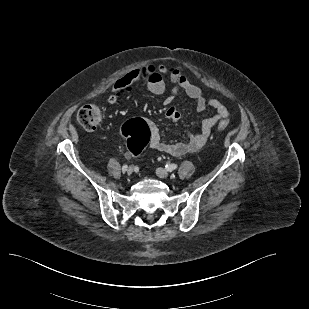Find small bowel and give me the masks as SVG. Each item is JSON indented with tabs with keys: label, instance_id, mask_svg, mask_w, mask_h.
<instances>
[{
	"label": "small bowel",
	"instance_id": "1",
	"mask_svg": "<svg viewBox=\"0 0 309 309\" xmlns=\"http://www.w3.org/2000/svg\"><path fill=\"white\" fill-rule=\"evenodd\" d=\"M165 78L173 84L166 98L167 103H170L179 93L184 92L188 97L195 100L198 111L211 107L215 110V114L203 120L198 133L188 135L185 141L173 143L163 141L158 124L153 120H148L146 123L150 130V147L172 156H182L186 153L197 152L206 144L215 125L221 120L228 118L229 111L220 100H207L202 90L193 84L187 76L182 74L179 69L162 64H150L132 70L115 81L107 101L111 105L116 104L138 82L144 83L151 93L161 95L166 91ZM180 117V112L175 108H169L166 112V118L174 123L178 122ZM126 156L129 157L130 153H127Z\"/></svg>",
	"mask_w": 309,
	"mask_h": 309
}]
</instances>
